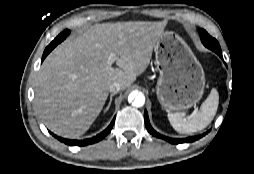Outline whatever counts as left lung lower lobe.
I'll use <instances>...</instances> for the list:
<instances>
[{
    "label": "left lung lower lobe",
    "instance_id": "0a47b994",
    "mask_svg": "<svg viewBox=\"0 0 254 174\" xmlns=\"http://www.w3.org/2000/svg\"><path fill=\"white\" fill-rule=\"evenodd\" d=\"M221 58H222V53L219 52L217 53ZM144 119H145V125H146V128L148 130L149 133H151L153 136H156L158 138H161V139H164L172 144H179V143H184V142H193L195 140H198L200 139L201 137H203L204 135L207 134L204 133L202 135H199V136H193V137H188V138H182V139H176V138H169V137H166V136H163V135H160L158 132H156L150 125V122H149V118H148V114H147V111L145 110L144 112Z\"/></svg>",
    "mask_w": 254,
    "mask_h": 174
}]
</instances>
